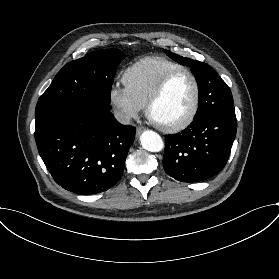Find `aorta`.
Here are the masks:
<instances>
[{"mask_svg": "<svg viewBox=\"0 0 279 279\" xmlns=\"http://www.w3.org/2000/svg\"><path fill=\"white\" fill-rule=\"evenodd\" d=\"M142 147L150 152H159L164 147V142L159 134L152 130H147L140 136Z\"/></svg>", "mask_w": 279, "mask_h": 279, "instance_id": "aorta-1", "label": "aorta"}]
</instances>
